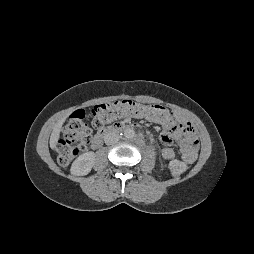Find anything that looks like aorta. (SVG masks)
Returning a JSON list of instances; mask_svg holds the SVG:
<instances>
[{"instance_id": "aorta-1", "label": "aorta", "mask_w": 254, "mask_h": 254, "mask_svg": "<svg viewBox=\"0 0 254 254\" xmlns=\"http://www.w3.org/2000/svg\"><path fill=\"white\" fill-rule=\"evenodd\" d=\"M123 135L127 139H132L135 136V131L132 128H127L124 130Z\"/></svg>"}]
</instances>
